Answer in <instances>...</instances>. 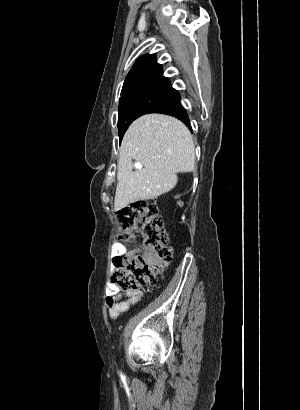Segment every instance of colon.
<instances>
[{
    "label": "colon",
    "mask_w": 300,
    "mask_h": 410,
    "mask_svg": "<svg viewBox=\"0 0 300 410\" xmlns=\"http://www.w3.org/2000/svg\"><path fill=\"white\" fill-rule=\"evenodd\" d=\"M125 240H139L144 253H125L115 258L111 287L131 292L141 286H155L172 261L168 235L156 204L138 201L118 212Z\"/></svg>",
    "instance_id": "1"
}]
</instances>
